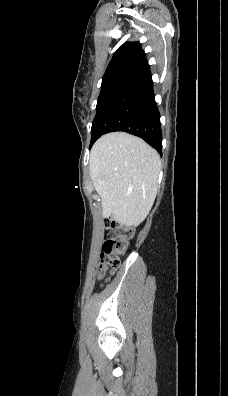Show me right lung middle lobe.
Here are the masks:
<instances>
[{
	"label": "right lung middle lobe",
	"instance_id": "right-lung-middle-lobe-1",
	"mask_svg": "<svg viewBox=\"0 0 228 396\" xmlns=\"http://www.w3.org/2000/svg\"><path fill=\"white\" fill-rule=\"evenodd\" d=\"M125 85H107L101 88V92L97 101L96 116L92 122V136L95 133V125L98 119L101 117L104 110L114 100V98L125 88Z\"/></svg>",
	"mask_w": 228,
	"mask_h": 396
}]
</instances>
